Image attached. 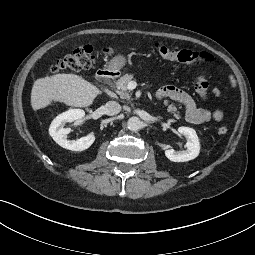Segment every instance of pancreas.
Wrapping results in <instances>:
<instances>
[{"label": "pancreas", "mask_w": 255, "mask_h": 255, "mask_svg": "<svg viewBox=\"0 0 255 255\" xmlns=\"http://www.w3.org/2000/svg\"><path fill=\"white\" fill-rule=\"evenodd\" d=\"M133 79H134L133 74H125L124 76H122L120 79L116 81V86L118 87L117 93L122 99H127V100L131 99V95L127 89V85L129 82L133 81ZM164 105L167 106V111L173 114V116L176 119L181 118L180 113L177 110V107L175 106L174 103L169 104V100H164Z\"/></svg>", "instance_id": "pancreas-1"}]
</instances>
